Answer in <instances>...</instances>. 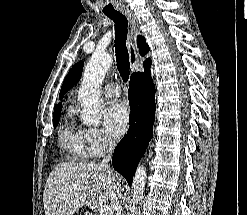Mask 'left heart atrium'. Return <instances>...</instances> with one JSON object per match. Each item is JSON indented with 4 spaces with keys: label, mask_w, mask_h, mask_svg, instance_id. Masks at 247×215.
I'll use <instances>...</instances> for the list:
<instances>
[{
    "label": "left heart atrium",
    "mask_w": 247,
    "mask_h": 215,
    "mask_svg": "<svg viewBox=\"0 0 247 215\" xmlns=\"http://www.w3.org/2000/svg\"><path fill=\"white\" fill-rule=\"evenodd\" d=\"M104 123L114 135H122L128 128L129 108L125 102H112L104 114Z\"/></svg>",
    "instance_id": "left-heart-atrium-1"
}]
</instances>
